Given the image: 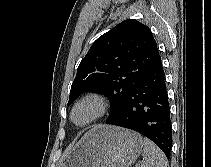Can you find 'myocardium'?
Returning <instances> with one entry per match:
<instances>
[{"label":"myocardium","mask_w":211,"mask_h":167,"mask_svg":"<svg viewBox=\"0 0 211 167\" xmlns=\"http://www.w3.org/2000/svg\"><path fill=\"white\" fill-rule=\"evenodd\" d=\"M85 104L92 105L95 108V112L87 121L83 123H78L74 119V114L80 106ZM107 108H108V103L103 95L99 93H87L81 98H79L72 106L70 112V119L76 126L85 127L102 118L106 114Z\"/></svg>","instance_id":"1"}]
</instances>
